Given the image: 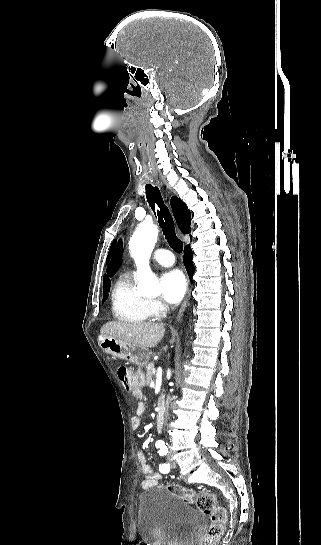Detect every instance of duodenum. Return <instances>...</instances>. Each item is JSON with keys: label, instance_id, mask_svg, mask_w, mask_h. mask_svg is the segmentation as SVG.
Wrapping results in <instances>:
<instances>
[{"label": "duodenum", "instance_id": "duodenum-1", "mask_svg": "<svg viewBox=\"0 0 321 545\" xmlns=\"http://www.w3.org/2000/svg\"><path fill=\"white\" fill-rule=\"evenodd\" d=\"M164 419H165V411H164V402L162 401L160 410L156 417V429L158 432H161L163 429Z\"/></svg>", "mask_w": 321, "mask_h": 545}]
</instances>
